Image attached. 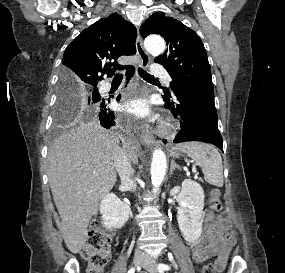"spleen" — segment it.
Wrapping results in <instances>:
<instances>
[{
    "label": "spleen",
    "instance_id": "obj_1",
    "mask_svg": "<svg viewBox=\"0 0 285 273\" xmlns=\"http://www.w3.org/2000/svg\"><path fill=\"white\" fill-rule=\"evenodd\" d=\"M174 150H179L190 156L201 167L207 183L223 186L222 158L216 148L201 142H184L177 144Z\"/></svg>",
    "mask_w": 285,
    "mask_h": 273
}]
</instances>
